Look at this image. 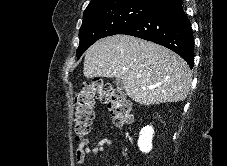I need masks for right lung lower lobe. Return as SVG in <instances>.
Returning <instances> with one entry per match:
<instances>
[{"label":"right lung lower lobe","instance_id":"right-lung-lower-lobe-1","mask_svg":"<svg viewBox=\"0 0 227 166\" xmlns=\"http://www.w3.org/2000/svg\"><path fill=\"white\" fill-rule=\"evenodd\" d=\"M119 34L131 35L165 46L194 65V39L181 0H164Z\"/></svg>","mask_w":227,"mask_h":166}]
</instances>
